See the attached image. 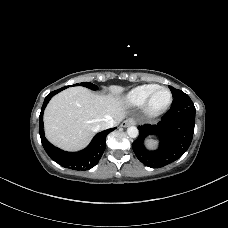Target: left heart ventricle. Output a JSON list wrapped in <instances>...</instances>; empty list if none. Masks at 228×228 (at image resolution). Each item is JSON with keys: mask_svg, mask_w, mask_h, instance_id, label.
<instances>
[{"mask_svg": "<svg viewBox=\"0 0 228 228\" xmlns=\"http://www.w3.org/2000/svg\"><path fill=\"white\" fill-rule=\"evenodd\" d=\"M169 98V93L166 90H159L152 100L151 107L155 110L160 109L168 103Z\"/></svg>", "mask_w": 228, "mask_h": 228, "instance_id": "left-heart-ventricle-1", "label": "left heart ventricle"}]
</instances>
